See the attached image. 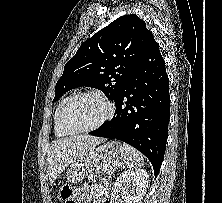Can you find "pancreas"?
I'll return each mask as SVG.
<instances>
[{
	"instance_id": "obj_1",
	"label": "pancreas",
	"mask_w": 222,
	"mask_h": 203,
	"mask_svg": "<svg viewBox=\"0 0 222 203\" xmlns=\"http://www.w3.org/2000/svg\"><path fill=\"white\" fill-rule=\"evenodd\" d=\"M116 161L108 160L103 161V163L99 164L97 168L89 175V179L93 180V178L100 177V178H108L110 177L115 169H116Z\"/></svg>"
}]
</instances>
